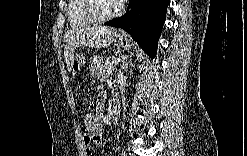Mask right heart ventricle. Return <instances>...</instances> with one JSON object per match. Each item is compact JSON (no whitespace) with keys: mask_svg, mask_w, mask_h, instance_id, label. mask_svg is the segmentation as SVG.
I'll return each mask as SVG.
<instances>
[{"mask_svg":"<svg viewBox=\"0 0 247 156\" xmlns=\"http://www.w3.org/2000/svg\"><path fill=\"white\" fill-rule=\"evenodd\" d=\"M84 0H70L67 7L68 22L72 28L85 27L93 22L84 13Z\"/></svg>","mask_w":247,"mask_h":156,"instance_id":"right-heart-ventricle-1","label":"right heart ventricle"}]
</instances>
